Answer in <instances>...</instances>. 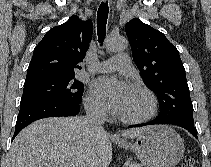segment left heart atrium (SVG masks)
<instances>
[{"instance_id":"left-heart-atrium-1","label":"left heart atrium","mask_w":211,"mask_h":167,"mask_svg":"<svg viewBox=\"0 0 211 167\" xmlns=\"http://www.w3.org/2000/svg\"><path fill=\"white\" fill-rule=\"evenodd\" d=\"M93 92L114 113L120 114L132 92L131 86L115 76H102L92 83Z\"/></svg>"}]
</instances>
